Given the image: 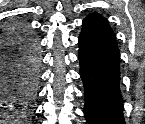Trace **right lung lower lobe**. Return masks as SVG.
I'll return each mask as SVG.
<instances>
[{
  "label": "right lung lower lobe",
  "mask_w": 145,
  "mask_h": 124,
  "mask_svg": "<svg viewBox=\"0 0 145 124\" xmlns=\"http://www.w3.org/2000/svg\"><path fill=\"white\" fill-rule=\"evenodd\" d=\"M39 72L35 35L14 30L5 35L0 51V114L21 118L32 109Z\"/></svg>",
  "instance_id": "right-lung-lower-lobe-1"
}]
</instances>
